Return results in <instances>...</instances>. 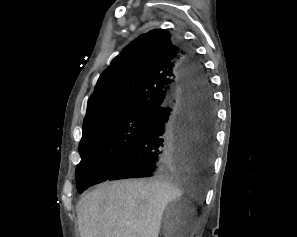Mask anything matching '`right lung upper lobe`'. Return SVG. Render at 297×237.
<instances>
[{
	"label": "right lung upper lobe",
	"instance_id": "right-lung-upper-lobe-1",
	"mask_svg": "<svg viewBox=\"0 0 297 237\" xmlns=\"http://www.w3.org/2000/svg\"><path fill=\"white\" fill-rule=\"evenodd\" d=\"M184 51L165 30H152L128 45L101 74L87 103L83 130L97 121L155 112L182 83Z\"/></svg>",
	"mask_w": 297,
	"mask_h": 237
}]
</instances>
